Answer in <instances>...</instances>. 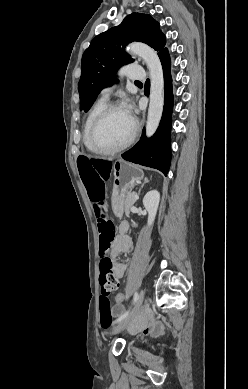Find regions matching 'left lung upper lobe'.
Returning a JSON list of instances; mask_svg holds the SVG:
<instances>
[{"label": "left lung upper lobe", "instance_id": "left-lung-upper-lobe-1", "mask_svg": "<svg viewBox=\"0 0 248 389\" xmlns=\"http://www.w3.org/2000/svg\"><path fill=\"white\" fill-rule=\"evenodd\" d=\"M133 41L146 43L159 53L165 49L166 38L150 15L132 13L91 41L82 56L78 83L81 110L87 112L101 89L115 82L119 67L134 61L125 52V46Z\"/></svg>", "mask_w": 248, "mask_h": 389}]
</instances>
